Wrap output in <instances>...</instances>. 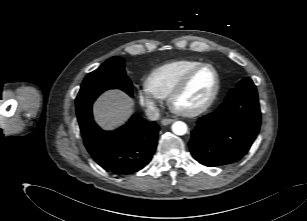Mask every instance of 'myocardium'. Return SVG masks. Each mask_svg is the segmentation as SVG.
Instances as JSON below:
<instances>
[{"instance_id": "1", "label": "myocardium", "mask_w": 307, "mask_h": 221, "mask_svg": "<svg viewBox=\"0 0 307 221\" xmlns=\"http://www.w3.org/2000/svg\"><path fill=\"white\" fill-rule=\"evenodd\" d=\"M205 68L212 69L214 74H215V86H214L212 94L202 105H200L196 108H193V109H190V110L179 109L177 107L178 98L186 91V89L188 88V86L191 83V81L193 80V78L201 70H203ZM220 84H221L220 74H219L217 68L215 66H213L212 64L202 63L201 65L197 66L196 68H194L190 72H188L182 78V80L178 83V85L174 88V90L170 93V95L167 98L168 99V106H169L170 110L177 115H181V116H185V117L198 116V115L206 112L213 105V103L215 102V100H216V98L219 94Z\"/></svg>"}]
</instances>
